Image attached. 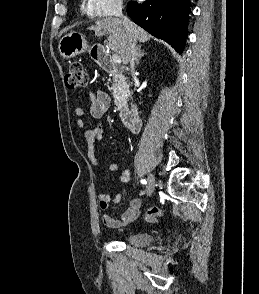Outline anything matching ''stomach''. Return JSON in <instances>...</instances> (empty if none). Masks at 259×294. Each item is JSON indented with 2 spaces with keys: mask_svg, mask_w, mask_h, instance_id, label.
Instances as JSON below:
<instances>
[{
  "mask_svg": "<svg viewBox=\"0 0 259 294\" xmlns=\"http://www.w3.org/2000/svg\"><path fill=\"white\" fill-rule=\"evenodd\" d=\"M85 37L76 31L64 35L59 41V52L63 58H73L87 50Z\"/></svg>",
  "mask_w": 259,
  "mask_h": 294,
  "instance_id": "obj_1",
  "label": "stomach"
}]
</instances>
